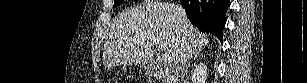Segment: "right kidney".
<instances>
[{
	"label": "right kidney",
	"instance_id": "right-kidney-1",
	"mask_svg": "<svg viewBox=\"0 0 307 83\" xmlns=\"http://www.w3.org/2000/svg\"><path fill=\"white\" fill-rule=\"evenodd\" d=\"M207 78V66L204 63L198 64L192 74V83H205Z\"/></svg>",
	"mask_w": 307,
	"mask_h": 83
}]
</instances>
